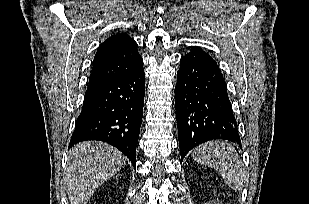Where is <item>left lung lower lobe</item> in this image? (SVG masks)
<instances>
[{"label": "left lung lower lobe", "instance_id": "1", "mask_svg": "<svg viewBox=\"0 0 309 204\" xmlns=\"http://www.w3.org/2000/svg\"><path fill=\"white\" fill-rule=\"evenodd\" d=\"M175 108L181 161L192 148L209 140L241 145L223 75L213 58L198 47L180 60Z\"/></svg>", "mask_w": 309, "mask_h": 204}]
</instances>
